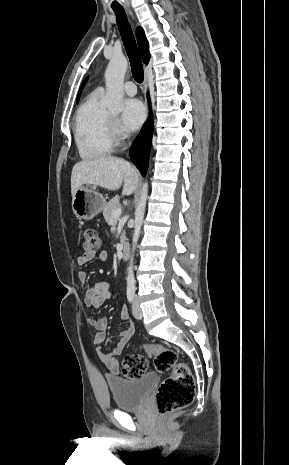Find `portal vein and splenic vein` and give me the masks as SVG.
I'll return each instance as SVG.
<instances>
[{
	"mask_svg": "<svg viewBox=\"0 0 289 465\" xmlns=\"http://www.w3.org/2000/svg\"><path fill=\"white\" fill-rule=\"evenodd\" d=\"M121 212H122L121 209L115 210L112 214V219H113L112 221H116L120 217Z\"/></svg>",
	"mask_w": 289,
	"mask_h": 465,
	"instance_id": "portal-vein-and-splenic-vein-1",
	"label": "portal vein and splenic vein"
}]
</instances>
